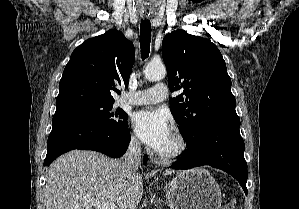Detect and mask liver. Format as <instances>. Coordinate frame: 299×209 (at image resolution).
<instances>
[{
  "mask_svg": "<svg viewBox=\"0 0 299 209\" xmlns=\"http://www.w3.org/2000/svg\"><path fill=\"white\" fill-rule=\"evenodd\" d=\"M166 170L163 175L172 174ZM143 194L142 176L128 177L121 161L93 151L73 150L47 169L46 209H92V200L114 203L117 209H135Z\"/></svg>",
  "mask_w": 299,
  "mask_h": 209,
  "instance_id": "6515ba94",
  "label": "liver"
}]
</instances>
